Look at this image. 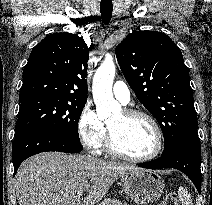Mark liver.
I'll return each instance as SVG.
<instances>
[{
    "instance_id": "obj_1",
    "label": "liver",
    "mask_w": 212,
    "mask_h": 205,
    "mask_svg": "<svg viewBox=\"0 0 212 205\" xmlns=\"http://www.w3.org/2000/svg\"><path fill=\"white\" fill-rule=\"evenodd\" d=\"M138 169L92 156L43 152L30 157L16 174L19 205H95L126 172ZM79 190L86 191L81 203Z\"/></svg>"
}]
</instances>
